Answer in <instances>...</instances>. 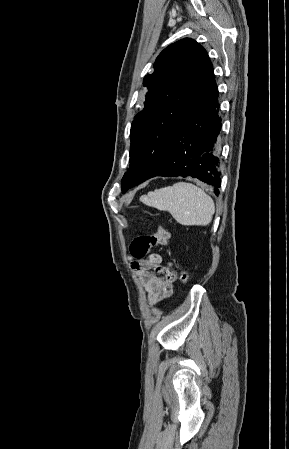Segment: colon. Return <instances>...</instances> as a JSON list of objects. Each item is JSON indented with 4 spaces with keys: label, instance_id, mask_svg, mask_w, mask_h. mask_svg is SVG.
Wrapping results in <instances>:
<instances>
[{
    "label": "colon",
    "instance_id": "5ec220e1",
    "mask_svg": "<svg viewBox=\"0 0 289 449\" xmlns=\"http://www.w3.org/2000/svg\"><path fill=\"white\" fill-rule=\"evenodd\" d=\"M168 232L162 226L158 225L153 234H143L136 236L130 244V253L134 258L142 259L149 256L152 247L156 245H165L168 240ZM180 279L183 284L189 281V274L186 270H180Z\"/></svg>",
    "mask_w": 289,
    "mask_h": 449
}]
</instances>
